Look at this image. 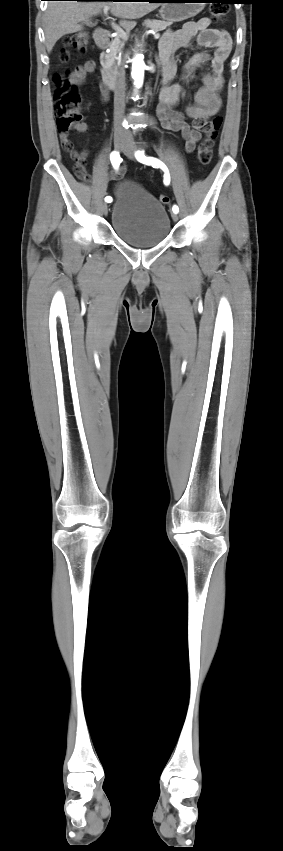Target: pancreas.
Masks as SVG:
<instances>
[{
  "instance_id": "cf45deb5",
  "label": "pancreas",
  "mask_w": 283,
  "mask_h": 851,
  "mask_svg": "<svg viewBox=\"0 0 283 851\" xmlns=\"http://www.w3.org/2000/svg\"><path fill=\"white\" fill-rule=\"evenodd\" d=\"M170 25V22L159 20L146 22V26L155 32L163 31ZM124 42L125 39H120L119 37L115 38L110 44V52L105 53L100 57V62L104 69L114 67L116 63L120 62L121 57H119L118 54L122 53Z\"/></svg>"
}]
</instances>
